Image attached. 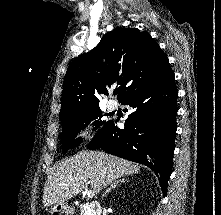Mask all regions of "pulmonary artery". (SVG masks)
<instances>
[{
	"instance_id": "pulmonary-artery-1",
	"label": "pulmonary artery",
	"mask_w": 221,
	"mask_h": 215,
	"mask_svg": "<svg viewBox=\"0 0 221 215\" xmlns=\"http://www.w3.org/2000/svg\"><path fill=\"white\" fill-rule=\"evenodd\" d=\"M107 107L109 110H115L117 108V103L114 100H109L107 102Z\"/></svg>"
}]
</instances>
